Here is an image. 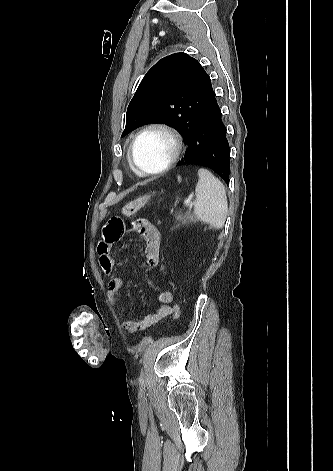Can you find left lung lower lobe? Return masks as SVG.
Wrapping results in <instances>:
<instances>
[{"instance_id": "obj_1", "label": "left lung lower lobe", "mask_w": 333, "mask_h": 471, "mask_svg": "<svg viewBox=\"0 0 333 471\" xmlns=\"http://www.w3.org/2000/svg\"><path fill=\"white\" fill-rule=\"evenodd\" d=\"M184 158L177 164L202 165L213 169L228 184L230 149L222 114L212 93L202 109L189 139Z\"/></svg>"}]
</instances>
